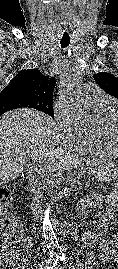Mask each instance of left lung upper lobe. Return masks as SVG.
<instances>
[{
	"label": "left lung upper lobe",
	"instance_id": "left-lung-upper-lobe-1",
	"mask_svg": "<svg viewBox=\"0 0 118 269\" xmlns=\"http://www.w3.org/2000/svg\"><path fill=\"white\" fill-rule=\"evenodd\" d=\"M97 84L108 94L118 98V78L107 72L94 75Z\"/></svg>",
	"mask_w": 118,
	"mask_h": 269
}]
</instances>
